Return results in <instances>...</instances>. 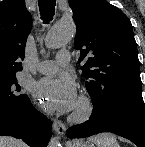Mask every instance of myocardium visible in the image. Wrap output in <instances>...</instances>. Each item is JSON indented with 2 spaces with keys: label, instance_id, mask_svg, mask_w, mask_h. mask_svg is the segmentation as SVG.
<instances>
[{
  "label": "myocardium",
  "instance_id": "1",
  "mask_svg": "<svg viewBox=\"0 0 145 147\" xmlns=\"http://www.w3.org/2000/svg\"><path fill=\"white\" fill-rule=\"evenodd\" d=\"M95 105L90 96L82 94L77 105L70 115V120L74 123H83L91 118L94 113Z\"/></svg>",
  "mask_w": 145,
  "mask_h": 147
}]
</instances>
